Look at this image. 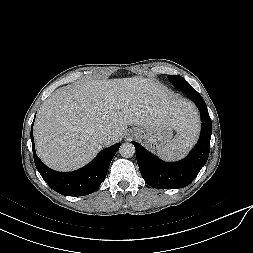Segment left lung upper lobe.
Wrapping results in <instances>:
<instances>
[{"label":"left lung upper lobe","instance_id":"1","mask_svg":"<svg viewBox=\"0 0 253 253\" xmlns=\"http://www.w3.org/2000/svg\"><path fill=\"white\" fill-rule=\"evenodd\" d=\"M168 79L171 81L174 87H176L179 90L185 91L188 88H191L192 86L181 76H168Z\"/></svg>","mask_w":253,"mask_h":253}]
</instances>
